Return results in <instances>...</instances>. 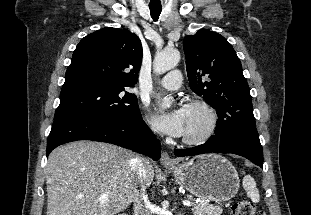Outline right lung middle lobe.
I'll return each mask as SVG.
<instances>
[{
	"label": "right lung middle lobe",
	"instance_id": "right-lung-middle-lobe-1",
	"mask_svg": "<svg viewBox=\"0 0 311 215\" xmlns=\"http://www.w3.org/2000/svg\"><path fill=\"white\" fill-rule=\"evenodd\" d=\"M139 114L136 96L124 88L79 83L63 86L54 120L71 116L126 119Z\"/></svg>",
	"mask_w": 311,
	"mask_h": 215
}]
</instances>
